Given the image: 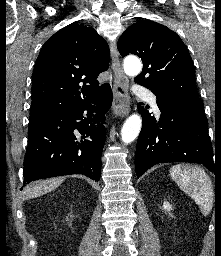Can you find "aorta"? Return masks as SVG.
I'll use <instances>...</instances> for the list:
<instances>
[{
  "label": "aorta",
  "instance_id": "1",
  "mask_svg": "<svg viewBox=\"0 0 221 256\" xmlns=\"http://www.w3.org/2000/svg\"><path fill=\"white\" fill-rule=\"evenodd\" d=\"M142 65L139 59L126 60L124 71L127 75L135 76L141 71ZM142 126V119L138 114H133L125 121L121 129V139L125 144H129L136 139Z\"/></svg>",
  "mask_w": 221,
  "mask_h": 256
}]
</instances>
